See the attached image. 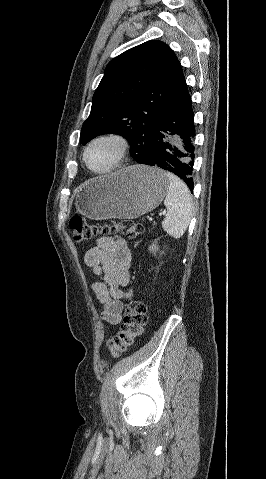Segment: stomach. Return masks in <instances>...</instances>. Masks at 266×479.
<instances>
[{
  "instance_id": "0dacf381",
  "label": "stomach",
  "mask_w": 266,
  "mask_h": 479,
  "mask_svg": "<svg viewBox=\"0 0 266 479\" xmlns=\"http://www.w3.org/2000/svg\"><path fill=\"white\" fill-rule=\"evenodd\" d=\"M168 187L162 169L134 165L81 185L76 192V207L93 220L135 219L155 209Z\"/></svg>"
}]
</instances>
